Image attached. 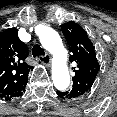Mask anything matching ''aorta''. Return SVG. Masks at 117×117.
<instances>
[{"label":"aorta","instance_id":"aorta-1","mask_svg":"<svg viewBox=\"0 0 117 117\" xmlns=\"http://www.w3.org/2000/svg\"><path fill=\"white\" fill-rule=\"evenodd\" d=\"M41 45L52 54V80L56 89L66 90L70 85V74L67 66L68 52L59 34L50 27H44L39 34Z\"/></svg>","mask_w":117,"mask_h":117}]
</instances>
